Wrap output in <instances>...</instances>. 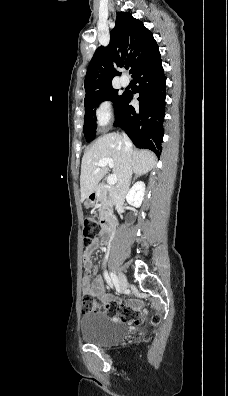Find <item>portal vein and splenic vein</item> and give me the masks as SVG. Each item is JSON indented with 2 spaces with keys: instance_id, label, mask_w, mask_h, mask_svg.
<instances>
[{
  "instance_id": "obj_1",
  "label": "portal vein and splenic vein",
  "mask_w": 228,
  "mask_h": 396,
  "mask_svg": "<svg viewBox=\"0 0 228 396\" xmlns=\"http://www.w3.org/2000/svg\"><path fill=\"white\" fill-rule=\"evenodd\" d=\"M96 165L98 167H104V166L108 165L110 168H112L114 163H113V160L111 158H104V159L99 160V162ZM116 182H117V176L116 175L112 174V175L108 176L107 183L109 185H114V184H116Z\"/></svg>"
}]
</instances>
